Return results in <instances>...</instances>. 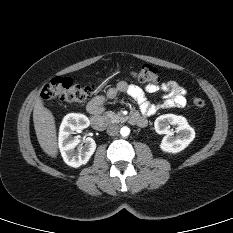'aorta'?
I'll return each instance as SVG.
<instances>
[{"mask_svg":"<svg viewBox=\"0 0 233 233\" xmlns=\"http://www.w3.org/2000/svg\"><path fill=\"white\" fill-rule=\"evenodd\" d=\"M120 134L124 137L128 136L130 134V129L126 126L122 127L120 130Z\"/></svg>","mask_w":233,"mask_h":233,"instance_id":"1","label":"aorta"}]
</instances>
